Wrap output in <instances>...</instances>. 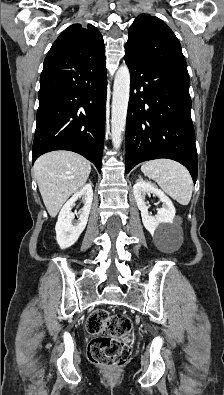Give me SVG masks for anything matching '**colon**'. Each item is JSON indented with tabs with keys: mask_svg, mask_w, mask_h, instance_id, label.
Wrapping results in <instances>:
<instances>
[{
	"mask_svg": "<svg viewBox=\"0 0 224 395\" xmlns=\"http://www.w3.org/2000/svg\"><path fill=\"white\" fill-rule=\"evenodd\" d=\"M86 330L95 335L88 348L90 361L98 366L116 368L125 365L131 356L132 322L124 315H109L94 310L86 319Z\"/></svg>",
	"mask_w": 224,
	"mask_h": 395,
	"instance_id": "obj_1",
	"label": "colon"
}]
</instances>
